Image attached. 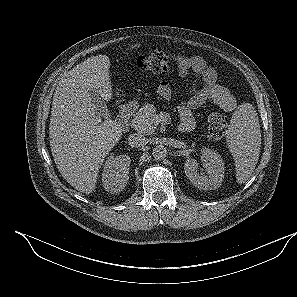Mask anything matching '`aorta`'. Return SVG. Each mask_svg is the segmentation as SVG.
<instances>
[{"label":"aorta","mask_w":297,"mask_h":297,"mask_svg":"<svg viewBox=\"0 0 297 297\" xmlns=\"http://www.w3.org/2000/svg\"><path fill=\"white\" fill-rule=\"evenodd\" d=\"M167 154V148L163 145L155 146L152 151V155L155 159H164L166 158Z\"/></svg>","instance_id":"obj_1"}]
</instances>
